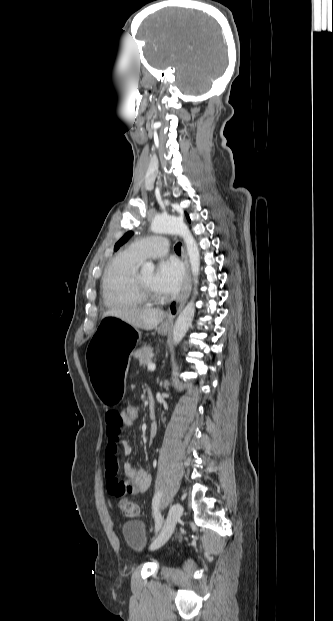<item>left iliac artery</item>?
I'll use <instances>...</instances> for the list:
<instances>
[{
  "mask_svg": "<svg viewBox=\"0 0 333 621\" xmlns=\"http://www.w3.org/2000/svg\"><path fill=\"white\" fill-rule=\"evenodd\" d=\"M162 494V490L156 492L152 500V508L155 516V532L160 530L163 523V519L159 511L160 499L162 497Z\"/></svg>",
  "mask_w": 333,
  "mask_h": 621,
  "instance_id": "1",
  "label": "left iliac artery"
}]
</instances>
